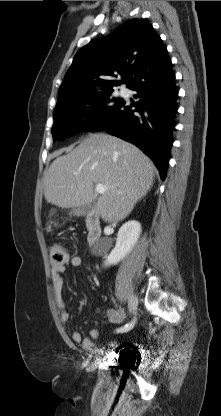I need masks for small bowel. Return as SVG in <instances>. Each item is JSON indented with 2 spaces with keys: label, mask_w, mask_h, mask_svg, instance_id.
Listing matches in <instances>:
<instances>
[{
  "label": "small bowel",
  "mask_w": 221,
  "mask_h": 416,
  "mask_svg": "<svg viewBox=\"0 0 221 416\" xmlns=\"http://www.w3.org/2000/svg\"><path fill=\"white\" fill-rule=\"evenodd\" d=\"M71 266L78 268L83 264V259L79 255H74L70 258ZM66 270L65 265H52L51 275L53 283V291L57 306L60 310V317L63 322H67L70 318L69 312L66 310V304L63 298V274ZM106 318L109 322L120 324L125 320V314L120 309H108L106 311ZM100 338V331L92 329L89 337L84 338L78 331L71 333V339L74 343L80 344L84 349L91 350L95 348V341Z\"/></svg>",
  "instance_id": "obj_1"
}]
</instances>
